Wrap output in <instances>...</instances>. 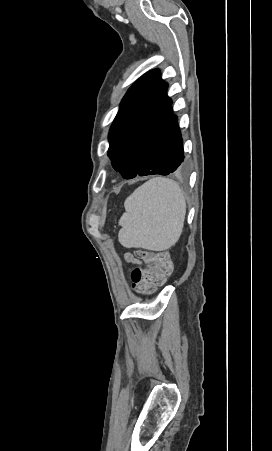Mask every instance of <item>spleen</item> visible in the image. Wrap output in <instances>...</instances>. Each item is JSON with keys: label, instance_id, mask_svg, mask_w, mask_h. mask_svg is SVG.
<instances>
[{"label": "spleen", "instance_id": "spleen-1", "mask_svg": "<svg viewBox=\"0 0 272 451\" xmlns=\"http://www.w3.org/2000/svg\"><path fill=\"white\" fill-rule=\"evenodd\" d=\"M118 239L124 247L163 251L175 245L184 226L183 192L169 178H152L134 190L124 202Z\"/></svg>", "mask_w": 272, "mask_h": 451}]
</instances>
